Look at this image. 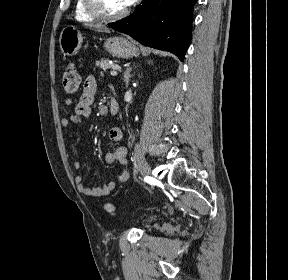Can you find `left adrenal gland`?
Here are the masks:
<instances>
[{"mask_svg":"<svg viewBox=\"0 0 288 280\" xmlns=\"http://www.w3.org/2000/svg\"><path fill=\"white\" fill-rule=\"evenodd\" d=\"M132 68L129 67L126 69L125 73H124V82H125V86L128 87V83H129V79L132 77V75L130 74Z\"/></svg>","mask_w":288,"mask_h":280,"instance_id":"1","label":"left adrenal gland"}]
</instances>
